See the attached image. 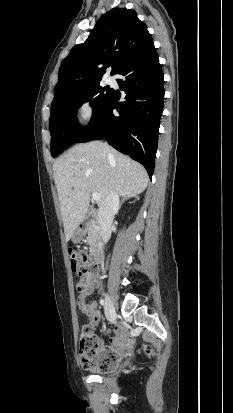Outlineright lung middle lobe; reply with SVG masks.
Returning a JSON list of instances; mask_svg holds the SVG:
<instances>
[{
	"instance_id": "obj_1",
	"label": "right lung middle lobe",
	"mask_w": 233,
	"mask_h": 413,
	"mask_svg": "<svg viewBox=\"0 0 233 413\" xmlns=\"http://www.w3.org/2000/svg\"><path fill=\"white\" fill-rule=\"evenodd\" d=\"M112 93V90L106 87L102 88L97 83L52 103L49 129L51 133V155L53 157L61 153L87 130V128L81 127L76 120L78 107L84 102L90 101L94 109V115L89 125L91 126L109 101Z\"/></svg>"
}]
</instances>
